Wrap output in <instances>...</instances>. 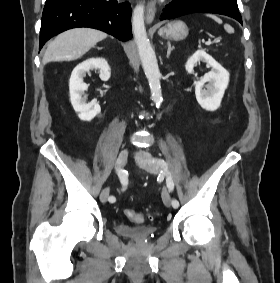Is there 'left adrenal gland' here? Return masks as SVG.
Returning a JSON list of instances; mask_svg holds the SVG:
<instances>
[{"label": "left adrenal gland", "mask_w": 280, "mask_h": 283, "mask_svg": "<svg viewBox=\"0 0 280 283\" xmlns=\"http://www.w3.org/2000/svg\"><path fill=\"white\" fill-rule=\"evenodd\" d=\"M167 46H168V50H167V58H169L170 53H171V51L174 49V47H173V46H171V43H170V42H168V43H167Z\"/></svg>", "instance_id": "a2214340"}]
</instances>
